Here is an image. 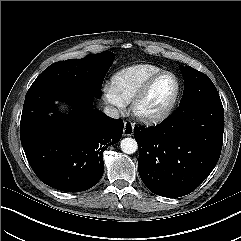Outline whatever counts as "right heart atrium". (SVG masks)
<instances>
[{"label": "right heart atrium", "mask_w": 241, "mask_h": 241, "mask_svg": "<svg viewBox=\"0 0 241 241\" xmlns=\"http://www.w3.org/2000/svg\"><path fill=\"white\" fill-rule=\"evenodd\" d=\"M103 99L106 104L116 111H122L125 108V102L117 94L111 84H105L102 88Z\"/></svg>", "instance_id": "obj_1"}]
</instances>
